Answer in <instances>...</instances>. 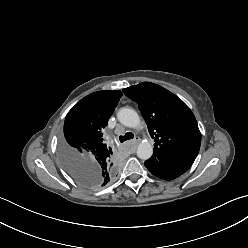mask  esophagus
<instances>
[{"label": "esophagus", "mask_w": 248, "mask_h": 248, "mask_svg": "<svg viewBox=\"0 0 248 248\" xmlns=\"http://www.w3.org/2000/svg\"><path fill=\"white\" fill-rule=\"evenodd\" d=\"M140 142V138L139 137H136L134 140L131 141V149L132 150H135L136 149V146L137 144Z\"/></svg>", "instance_id": "obj_1"}]
</instances>
